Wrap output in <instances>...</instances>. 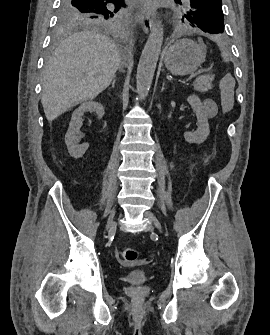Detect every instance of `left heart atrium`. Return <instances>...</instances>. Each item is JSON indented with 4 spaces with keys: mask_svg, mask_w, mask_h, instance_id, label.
Masks as SVG:
<instances>
[{
    "mask_svg": "<svg viewBox=\"0 0 270 335\" xmlns=\"http://www.w3.org/2000/svg\"><path fill=\"white\" fill-rule=\"evenodd\" d=\"M142 11L147 15H153L156 9L154 1H147L141 7Z\"/></svg>",
    "mask_w": 270,
    "mask_h": 335,
    "instance_id": "obj_1",
    "label": "left heart atrium"
}]
</instances>
